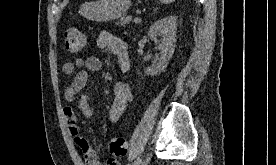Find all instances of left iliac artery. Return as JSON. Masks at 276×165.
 <instances>
[{"instance_id": "left-iliac-artery-1", "label": "left iliac artery", "mask_w": 276, "mask_h": 165, "mask_svg": "<svg viewBox=\"0 0 276 165\" xmlns=\"http://www.w3.org/2000/svg\"><path fill=\"white\" fill-rule=\"evenodd\" d=\"M140 162H141V159L138 158L137 160L134 161V163L132 165H139Z\"/></svg>"}]
</instances>
